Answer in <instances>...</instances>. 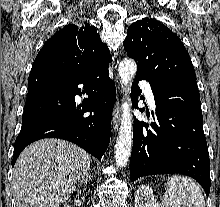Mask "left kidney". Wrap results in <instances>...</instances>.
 Returning <instances> with one entry per match:
<instances>
[{
	"label": "left kidney",
	"instance_id": "left-kidney-1",
	"mask_svg": "<svg viewBox=\"0 0 220 207\" xmlns=\"http://www.w3.org/2000/svg\"><path fill=\"white\" fill-rule=\"evenodd\" d=\"M135 207H160L148 185H141L137 189Z\"/></svg>",
	"mask_w": 220,
	"mask_h": 207
}]
</instances>
